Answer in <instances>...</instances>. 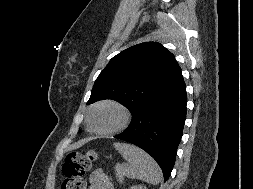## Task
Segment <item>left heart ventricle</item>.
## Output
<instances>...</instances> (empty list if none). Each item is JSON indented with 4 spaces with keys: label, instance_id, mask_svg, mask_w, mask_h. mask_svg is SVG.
<instances>
[{
    "label": "left heart ventricle",
    "instance_id": "1",
    "mask_svg": "<svg viewBox=\"0 0 253 189\" xmlns=\"http://www.w3.org/2000/svg\"><path fill=\"white\" fill-rule=\"evenodd\" d=\"M120 121L119 111L110 106L101 107L92 115V126L100 131L110 130L116 127Z\"/></svg>",
    "mask_w": 253,
    "mask_h": 189
}]
</instances>
